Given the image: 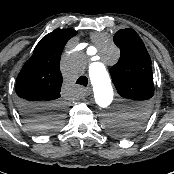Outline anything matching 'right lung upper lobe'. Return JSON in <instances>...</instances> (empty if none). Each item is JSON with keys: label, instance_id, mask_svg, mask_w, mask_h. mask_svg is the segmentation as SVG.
<instances>
[{"label": "right lung upper lobe", "instance_id": "1", "mask_svg": "<svg viewBox=\"0 0 174 174\" xmlns=\"http://www.w3.org/2000/svg\"><path fill=\"white\" fill-rule=\"evenodd\" d=\"M76 34L72 29H56L40 40L17 77L18 100L58 104L62 84L60 55L67 41Z\"/></svg>", "mask_w": 174, "mask_h": 174}]
</instances>
